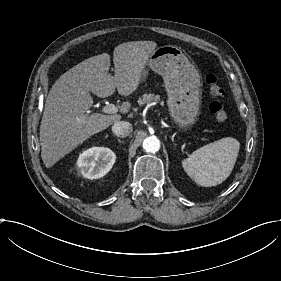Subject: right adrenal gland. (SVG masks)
Returning a JSON list of instances; mask_svg holds the SVG:
<instances>
[{"mask_svg":"<svg viewBox=\"0 0 281 281\" xmlns=\"http://www.w3.org/2000/svg\"><path fill=\"white\" fill-rule=\"evenodd\" d=\"M117 141H118L119 143H124V141H122V140L119 139L118 137H117Z\"/></svg>","mask_w":281,"mask_h":281,"instance_id":"obj_1","label":"right adrenal gland"}]
</instances>
